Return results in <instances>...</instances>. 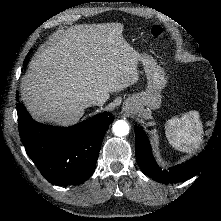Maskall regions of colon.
I'll return each instance as SVG.
<instances>
[{
	"instance_id": "5ec220e1",
	"label": "colon",
	"mask_w": 221,
	"mask_h": 221,
	"mask_svg": "<svg viewBox=\"0 0 221 221\" xmlns=\"http://www.w3.org/2000/svg\"><path fill=\"white\" fill-rule=\"evenodd\" d=\"M163 34V28L161 26H153L151 29V35L154 37H159Z\"/></svg>"
}]
</instances>
